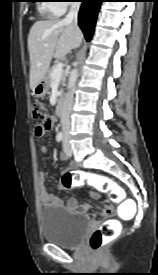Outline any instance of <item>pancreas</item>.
<instances>
[{
    "instance_id": "obj_1",
    "label": "pancreas",
    "mask_w": 158,
    "mask_h": 275,
    "mask_svg": "<svg viewBox=\"0 0 158 275\" xmlns=\"http://www.w3.org/2000/svg\"><path fill=\"white\" fill-rule=\"evenodd\" d=\"M55 67H52L51 69L48 70L47 73V79H48V84L50 86L51 82L53 81L51 74L53 72ZM65 81H66V77L64 75L61 76V85L64 86L65 85ZM62 92V89L60 90Z\"/></svg>"
}]
</instances>
